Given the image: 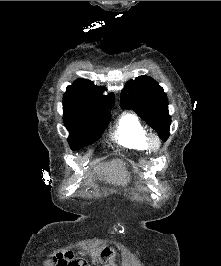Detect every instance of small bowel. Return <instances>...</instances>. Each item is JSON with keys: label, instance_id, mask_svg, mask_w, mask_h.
<instances>
[{"label": "small bowel", "instance_id": "1", "mask_svg": "<svg viewBox=\"0 0 221 266\" xmlns=\"http://www.w3.org/2000/svg\"><path fill=\"white\" fill-rule=\"evenodd\" d=\"M51 257H58L55 266H90L81 258L76 257V252H51ZM54 265V262H51Z\"/></svg>", "mask_w": 221, "mask_h": 266}]
</instances>
